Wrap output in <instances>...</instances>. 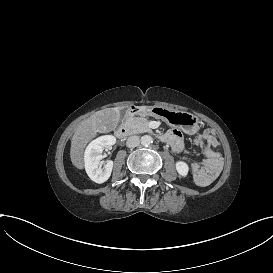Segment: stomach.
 <instances>
[{
    "instance_id": "stomach-1",
    "label": "stomach",
    "mask_w": 273,
    "mask_h": 273,
    "mask_svg": "<svg viewBox=\"0 0 273 273\" xmlns=\"http://www.w3.org/2000/svg\"><path fill=\"white\" fill-rule=\"evenodd\" d=\"M141 113L146 116L161 119L168 126L182 130L186 135H196L199 128V118L189 112L168 109L160 105L144 106Z\"/></svg>"
}]
</instances>
